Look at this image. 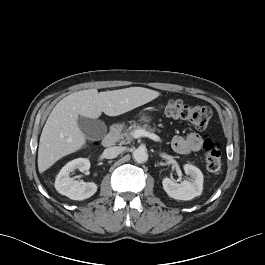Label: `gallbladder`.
Listing matches in <instances>:
<instances>
[{
    "label": "gallbladder",
    "instance_id": "gallbladder-1",
    "mask_svg": "<svg viewBox=\"0 0 265 265\" xmlns=\"http://www.w3.org/2000/svg\"><path fill=\"white\" fill-rule=\"evenodd\" d=\"M78 126L87 139H100L107 132L105 123L98 119L80 116L78 118Z\"/></svg>",
    "mask_w": 265,
    "mask_h": 265
}]
</instances>
